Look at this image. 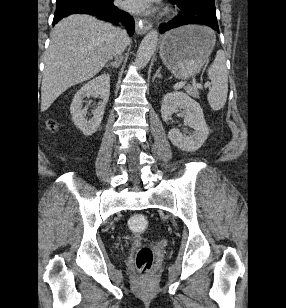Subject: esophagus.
Returning <instances> with one entry per match:
<instances>
[{"instance_id": "obj_1", "label": "esophagus", "mask_w": 286, "mask_h": 308, "mask_svg": "<svg viewBox=\"0 0 286 308\" xmlns=\"http://www.w3.org/2000/svg\"><path fill=\"white\" fill-rule=\"evenodd\" d=\"M137 34H144L152 27V23L147 19H135Z\"/></svg>"}]
</instances>
